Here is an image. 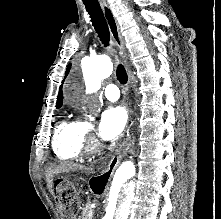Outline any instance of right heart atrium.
<instances>
[{"instance_id":"obj_1","label":"right heart atrium","mask_w":221,"mask_h":219,"mask_svg":"<svg viewBox=\"0 0 221 219\" xmlns=\"http://www.w3.org/2000/svg\"><path fill=\"white\" fill-rule=\"evenodd\" d=\"M91 130H92V125L89 123H86L85 124V133L89 134L91 132Z\"/></svg>"}]
</instances>
